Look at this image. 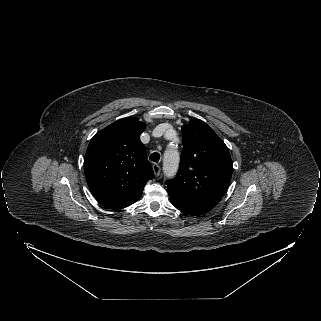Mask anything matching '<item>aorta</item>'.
Returning <instances> with one entry per match:
<instances>
[{
    "mask_svg": "<svg viewBox=\"0 0 321 321\" xmlns=\"http://www.w3.org/2000/svg\"><path fill=\"white\" fill-rule=\"evenodd\" d=\"M180 156L177 150L168 149L163 156V171L166 177L176 175L179 167Z\"/></svg>",
    "mask_w": 321,
    "mask_h": 321,
    "instance_id": "obj_1",
    "label": "aorta"
}]
</instances>
